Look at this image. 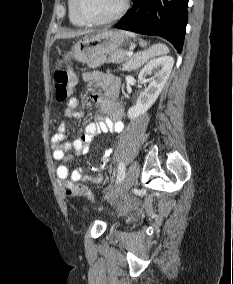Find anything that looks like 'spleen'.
<instances>
[{
    "mask_svg": "<svg viewBox=\"0 0 233 284\" xmlns=\"http://www.w3.org/2000/svg\"><path fill=\"white\" fill-rule=\"evenodd\" d=\"M126 35L130 36V37H136V35L134 33L131 32H125ZM140 45L142 47L146 46L147 43L140 39ZM169 52V49L166 45L158 43L153 45L151 48H149L147 51L143 52L142 54H137V59L139 61H142V63L144 61H146L147 59L157 56V55H161V54H166Z\"/></svg>",
    "mask_w": 233,
    "mask_h": 284,
    "instance_id": "3e777b00",
    "label": "spleen"
}]
</instances>
